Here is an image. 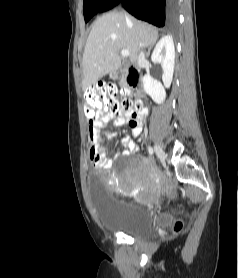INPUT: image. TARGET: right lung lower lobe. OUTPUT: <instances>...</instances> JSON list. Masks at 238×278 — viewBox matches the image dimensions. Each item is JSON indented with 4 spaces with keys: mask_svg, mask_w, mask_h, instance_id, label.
Segmentation results:
<instances>
[{
    "mask_svg": "<svg viewBox=\"0 0 238 278\" xmlns=\"http://www.w3.org/2000/svg\"><path fill=\"white\" fill-rule=\"evenodd\" d=\"M122 5L130 14L158 27L172 25L177 17V0H105L97 13Z\"/></svg>",
    "mask_w": 238,
    "mask_h": 278,
    "instance_id": "1",
    "label": "right lung lower lobe"
}]
</instances>
